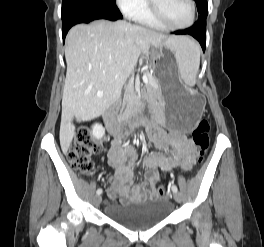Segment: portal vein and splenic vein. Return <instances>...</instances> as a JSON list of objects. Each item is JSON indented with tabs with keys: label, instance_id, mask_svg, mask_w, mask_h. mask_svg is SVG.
Here are the masks:
<instances>
[{
	"label": "portal vein and splenic vein",
	"instance_id": "18ae733b",
	"mask_svg": "<svg viewBox=\"0 0 264 247\" xmlns=\"http://www.w3.org/2000/svg\"><path fill=\"white\" fill-rule=\"evenodd\" d=\"M142 80H143L144 83H148V81H149V80H148V77L145 76V75L142 77ZM97 97H99V98L103 97V93L98 92V93H97Z\"/></svg>",
	"mask_w": 264,
	"mask_h": 247
}]
</instances>
